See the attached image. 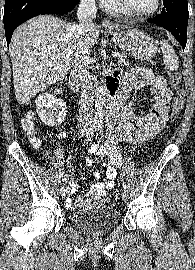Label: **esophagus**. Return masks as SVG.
I'll use <instances>...</instances> for the list:
<instances>
[{
	"label": "esophagus",
	"instance_id": "34e87169",
	"mask_svg": "<svg viewBox=\"0 0 195 270\" xmlns=\"http://www.w3.org/2000/svg\"><path fill=\"white\" fill-rule=\"evenodd\" d=\"M102 26L106 29H113L114 25L108 18H104L102 21Z\"/></svg>",
	"mask_w": 195,
	"mask_h": 270
}]
</instances>
